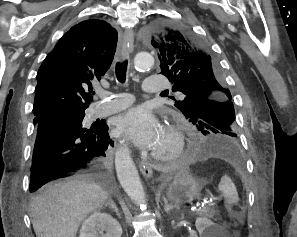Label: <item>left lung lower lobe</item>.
Segmentation results:
<instances>
[{"mask_svg": "<svg viewBox=\"0 0 297 237\" xmlns=\"http://www.w3.org/2000/svg\"><path fill=\"white\" fill-rule=\"evenodd\" d=\"M204 135L205 137L192 143L188 151L189 156L234 158L238 154L237 147L220 135Z\"/></svg>", "mask_w": 297, "mask_h": 237, "instance_id": "left-lung-lower-lobe-1", "label": "left lung lower lobe"}]
</instances>
